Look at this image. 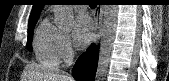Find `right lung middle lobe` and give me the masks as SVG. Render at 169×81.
Returning a JSON list of instances; mask_svg holds the SVG:
<instances>
[{"label": "right lung middle lobe", "mask_w": 169, "mask_h": 81, "mask_svg": "<svg viewBox=\"0 0 169 81\" xmlns=\"http://www.w3.org/2000/svg\"><path fill=\"white\" fill-rule=\"evenodd\" d=\"M37 20L33 22H29L28 24V40H27V47L29 51H32V37H33V30Z\"/></svg>", "instance_id": "right-lung-middle-lobe-1"}]
</instances>
